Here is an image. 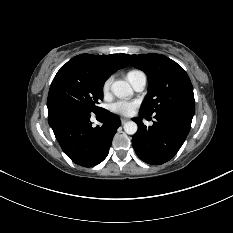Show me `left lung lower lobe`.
Wrapping results in <instances>:
<instances>
[{
	"instance_id": "obj_1",
	"label": "left lung lower lobe",
	"mask_w": 233,
	"mask_h": 233,
	"mask_svg": "<svg viewBox=\"0 0 233 233\" xmlns=\"http://www.w3.org/2000/svg\"><path fill=\"white\" fill-rule=\"evenodd\" d=\"M150 117L140 111V117ZM141 118L133 119L138 131L132 138L137 156L152 165L163 164L172 159L184 143L190 128L192 117L176 112L156 113L152 126L146 127Z\"/></svg>"
}]
</instances>
